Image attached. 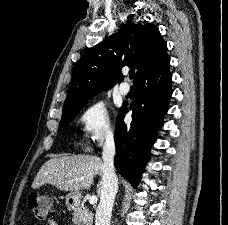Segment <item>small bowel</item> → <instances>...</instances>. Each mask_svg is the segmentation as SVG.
<instances>
[{
	"instance_id": "1",
	"label": "small bowel",
	"mask_w": 228,
	"mask_h": 225,
	"mask_svg": "<svg viewBox=\"0 0 228 225\" xmlns=\"http://www.w3.org/2000/svg\"><path fill=\"white\" fill-rule=\"evenodd\" d=\"M47 225H58V223L54 219L48 218Z\"/></svg>"
}]
</instances>
